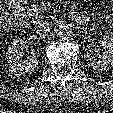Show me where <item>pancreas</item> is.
I'll use <instances>...</instances> for the list:
<instances>
[{
    "mask_svg": "<svg viewBox=\"0 0 113 113\" xmlns=\"http://www.w3.org/2000/svg\"><path fill=\"white\" fill-rule=\"evenodd\" d=\"M44 8L38 6V4H34L29 9V14L31 16L32 22L34 24H39L44 19Z\"/></svg>",
    "mask_w": 113,
    "mask_h": 113,
    "instance_id": "1",
    "label": "pancreas"
}]
</instances>
